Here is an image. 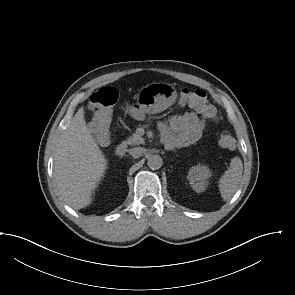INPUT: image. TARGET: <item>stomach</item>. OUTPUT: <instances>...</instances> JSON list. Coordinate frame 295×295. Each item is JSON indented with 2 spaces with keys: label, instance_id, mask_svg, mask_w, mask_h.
I'll return each mask as SVG.
<instances>
[{
  "label": "stomach",
  "instance_id": "0dacf381",
  "mask_svg": "<svg viewBox=\"0 0 295 295\" xmlns=\"http://www.w3.org/2000/svg\"><path fill=\"white\" fill-rule=\"evenodd\" d=\"M175 88L167 83H153L146 86L140 93V106L148 114L164 111L176 99Z\"/></svg>",
  "mask_w": 295,
  "mask_h": 295
}]
</instances>
